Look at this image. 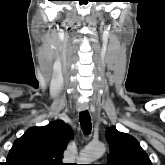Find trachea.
<instances>
[{
  "instance_id": "obj_1",
  "label": "trachea",
  "mask_w": 165,
  "mask_h": 165,
  "mask_svg": "<svg viewBox=\"0 0 165 165\" xmlns=\"http://www.w3.org/2000/svg\"><path fill=\"white\" fill-rule=\"evenodd\" d=\"M79 121H80V125L81 128L84 132L85 135H89L91 132V117L88 113V111H83L80 113L79 115Z\"/></svg>"
}]
</instances>
